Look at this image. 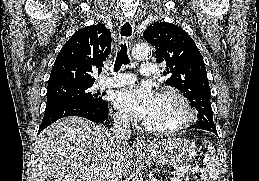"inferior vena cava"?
<instances>
[{
	"label": "inferior vena cava",
	"instance_id": "1",
	"mask_svg": "<svg viewBox=\"0 0 259 181\" xmlns=\"http://www.w3.org/2000/svg\"><path fill=\"white\" fill-rule=\"evenodd\" d=\"M114 149L111 153L107 181H122L123 169L121 153L126 149L131 130L128 116H116L113 124Z\"/></svg>",
	"mask_w": 259,
	"mask_h": 181
}]
</instances>
